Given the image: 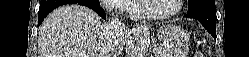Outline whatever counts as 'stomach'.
<instances>
[{
    "instance_id": "0dacf381",
    "label": "stomach",
    "mask_w": 249,
    "mask_h": 57,
    "mask_svg": "<svg viewBox=\"0 0 249 57\" xmlns=\"http://www.w3.org/2000/svg\"><path fill=\"white\" fill-rule=\"evenodd\" d=\"M159 46L155 57H187L189 51V36L176 25H164L157 31Z\"/></svg>"
}]
</instances>
